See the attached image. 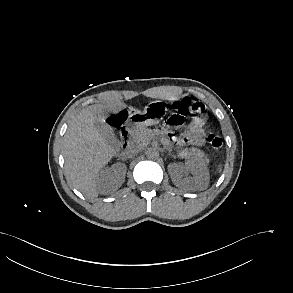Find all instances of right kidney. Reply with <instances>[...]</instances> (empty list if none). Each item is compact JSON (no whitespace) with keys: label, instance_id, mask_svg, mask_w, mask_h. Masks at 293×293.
<instances>
[{"label":"right kidney","instance_id":"1","mask_svg":"<svg viewBox=\"0 0 293 293\" xmlns=\"http://www.w3.org/2000/svg\"><path fill=\"white\" fill-rule=\"evenodd\" d=\"M126 166L124 164H114L110 168L101 170L97 176V183L102 186L103 184L116 183L120 186L125 179Z\"/></svg>","mask_w":293,"mask_h":293}]
</instances>
